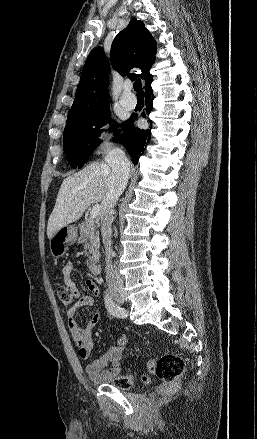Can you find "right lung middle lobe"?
Here are the masks:
<instances>
[{
    "instance_id": "obj_1",
    "label": "right lung middle lobe",
    "mask_w": 257,
    "mask_h": 439,
    "mask_svg": "<svg viewBox=\"0 0 257 439\" xmlns=\"http://www.w3.org/2000/svg\"><path fill=\"white\" fill-rule=\"evenodd\" d=\"M109 106H106L97 112L79 117L66 123L63 134V148L69 163L73 168L83 167L86 158L101 143L98 138L102 133L100 129L107 123L114 122L110 118ZM125 123L121 125L124 126ZM119 125L114 122L110 129L114 134L120 131L116 129Z\"/></svg>"
}]
</instances>
